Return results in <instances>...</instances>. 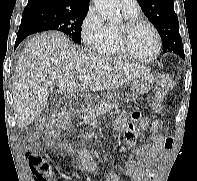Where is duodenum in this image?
Segmentation results:
<instances>
[{"label": "duodenum", "mask_w": 197, "mask_h": 181, "mask_svg": "<svg viewBox=\"0 0 197 181\" xmlns=\"http://www.w3.org/2000/svg\"><path fill=\"white\" fill-rule=\"evenodd\" d=\"M70 109L73 113H78L82 109V103L77 99L72 100L70 103Z\"/></svg>", "instance_id": "1"}]
</instances>
